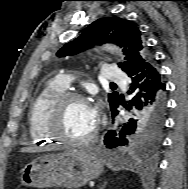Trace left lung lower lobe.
Instances as JSON below:
<instances>
[{
	"label": "left lung lower lobe",
	"mask_w": 188,
	"mask_h": 189,
	"mask_svg": "<svg viewBox=\"0 0 188 189\" xmlns=\"http://www.w3.org/2000/svg\"><path fill=\"white\" fill-rule=\"evenodd\" d=\"M127 75L131 79L128 91L133 98L128 104L121 99L111 108L112 116L118 114L117 108L122 104L130 118L113 130H109L104 137L107 148L128 146L129 137L140 127L142 129L154 128L163 125L166 110V85L153 61H145L130 70Z\"/></svg>",
	"instance_id": "1"
}]
</instances>
